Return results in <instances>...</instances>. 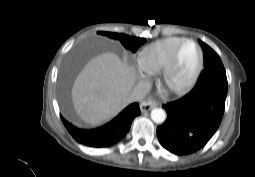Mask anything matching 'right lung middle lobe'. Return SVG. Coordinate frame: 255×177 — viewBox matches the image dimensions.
<instances>
[{"label": "right lung middle lobe", "mask_w": 255, "mask_h": 177, "mask_svg": "<svg viewBox=\"0 0 255 177\" xmlns=\"http://www.w3.org/2000/svg\"><path fill=\"white\" fill-rule=\"evenodd\" d=\"M99 34L107 36L112 39H118L125 48L131 50L132 52H135L140 45H142L146 39L144 38H138V37H130L129 35L125 34H118V33H111V32H99ZM67 98V91L65 88L62 89V100L63 102L66 101Z\"/></svg>", "instance_id": "dd1d6c3e"}]
</instances>
